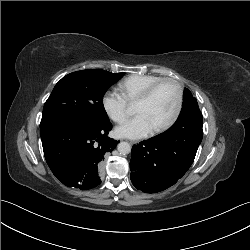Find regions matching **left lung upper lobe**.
I'll list each match as a JSON object with an SVG mask.
<instances>
[{"label":"left lung upper lobe","mask_w":250,"mask_h":250,"mask_svg":"<svg viewBox=\"0 0 250 250\" xmlns=\"http://www.w3.org/2000/svg\"><path fill=\"white\" fill-rule=\"evenodd\" d=\"M184 116H189L191 119H202L198 103L187 88L184 89L182 110L178 118Z\"/></svg>","instance_id":"left-lung-upper-lobe-1"}]
</instances>
